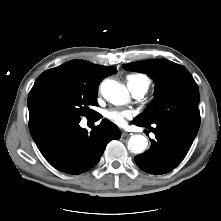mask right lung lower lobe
Listing matches in <instances>:
<instances>
[{
    "instance_id": "1",
    "label": "right lung lower lobe",
    "mask_w": 221,
    "mask_h": 221,
    "mask_svg": "<svg viewBox=\"0 0 221 221\" xmlns=\"http://www.w3.org/2000/svg\"><path fill=\"white\" fill-rule=\"evenodd\" d=\"M97 113L94 118H100ZM81 118L48 114L29 121L33 140L44 158L59 171L81 174L91 169L102 156L106 145L121 134L118 127L103 119L90 132L79 125Z\"/></svg>"
}]
</instances>
